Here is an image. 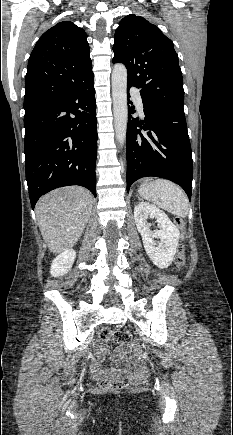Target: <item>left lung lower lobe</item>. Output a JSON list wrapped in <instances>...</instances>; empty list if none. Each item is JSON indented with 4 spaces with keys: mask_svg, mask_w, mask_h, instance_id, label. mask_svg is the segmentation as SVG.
Segmentation results:
<instances>
[{
    "mask_svg": "<svg viewBox=\"0 0 233 435\" xmlns=\"http://www.w3.org/2000/svg\"><path fill=\"white\" fill-rule=\"evenodd\" d=\"M142 101L143 121L131 117L134 106L129 107L128 113L127 192L136 180L155 176L180 185L190 200L193 163L184 110ZM129 103L132 104L130 100Z\"/></svg>",
    "mask_w": 233,
    "mask_h": 435,
    "instance_id": "left-lung-lower-lobe-1",
    "label": "left lung lower lobe"
}]
</instances>
